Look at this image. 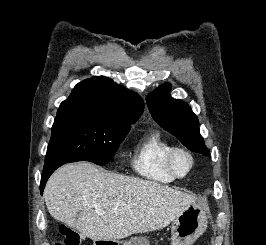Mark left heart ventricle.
Returning <instances> with one entry per match:
<instances>
[{"mask_svg": "<svg viewBox=\"0 0 266 245\" xmlns=\"http://www.w3.org/2000/svg\"><path fill=\"white\" fill-rule=\"evenodd\" d=\"M175 167L180 175L186 174V172L189 170L190 167V160L189 158L184 154H178L175 159Z\"/></svg>", "mask_w": 266, "mask_h": 245, "instance_id": "left-heart-ventricle-1", "label": "left heart ventricle"}]
</instances>
